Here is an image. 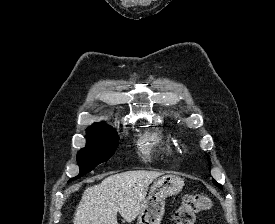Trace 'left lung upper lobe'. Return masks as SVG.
Masks as SVG:
<instances>
[{
  "label": "left lung upper lobe",
  "mask_w": 275,
  "mask_h": 224,
  "mask_svg": "<svg viewBox=\"0 0 275 224\" xmlns=\"http://www.w3.org/2000/svg\"><path fill=\"white\" fill-rule=\"evenodd\" d=\"M213 183H214L217 187H219V188L222 189V186H221L219 183H217L214 179H213Z\"/></svg>",
  "instance_id": "5c2ea615"
}]
</instances>
